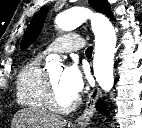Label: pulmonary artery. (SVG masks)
I'll return each instance as SVG.
<instances>
[{
	"mask_svg": "<svg viewBox=\"0 0 142 128\" xmlns=\"http://www.w3.org/2000/svg\"><path fill=\"white\" fill-rule=\"evenodd\" d=\"M83 47V38L76 33H69L54 40L46 47L43 53H67L81 50Z\"/></svg>",
	"mask_w": 142,
	"mask_h": 128,
	"instance_id": "obj_1",
	"label": "pulmonary artery"
}]
</instances>
